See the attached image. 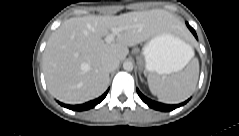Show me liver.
<instances>
[{
	"mask_svg": "<svg viewBox=\"0 0 239 136\" xmlns=\"http://www.w3.org/2000/svg\"><path fill=\"white\" fill-rule=\"evenodd\" d=\"M113 27L126 29L116 35L114 42L107 43L103 38ZM166 29L180 31L182 23L162 9L65 20L52 33L43 53L48 90L68 104H81L101 96L109 84V72L102 61H122L129 53L128 47Z\"/></svg>",
	"mask_w": 239,
	"mask_h": 136,
	"instance_id": "obj_1",
	"label": "liver"
}]
</instances>
